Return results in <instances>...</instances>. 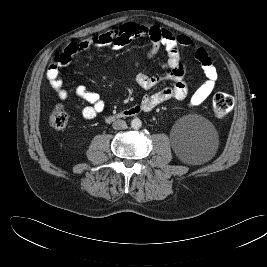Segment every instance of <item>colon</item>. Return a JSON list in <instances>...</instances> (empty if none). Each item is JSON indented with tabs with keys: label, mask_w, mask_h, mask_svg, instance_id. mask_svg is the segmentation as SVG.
Masks as SVG:
<instances>
[{
	"label": "colon",
	"mask_w": 267,
	"mask_h": 267,
	"mask_svg": "<svg viewBox=\"0 0 267 267\" xmlns=\"http://www.w3.org/2000/svg\"><path fill=\"white\" fill-rule=\"evenodd\" d=\"M234 106L233 97L225 92H218L213 97L212 107L215 117H227ZM49 124L55 129H64L68 124V114L63 106H55L48 116Z\"/></svg>",
	"instance_id": "obj_1"
}]
</instances>
